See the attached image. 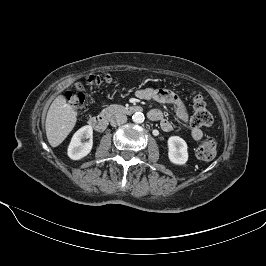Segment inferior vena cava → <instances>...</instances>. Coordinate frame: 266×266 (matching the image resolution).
<instances>
[{
    "instance_id": "obj_1",
    "label": "inferior vena cava",
    "mask_w": 266,
    "mask_h": 266,
    "mask_svg": "<svg viewBox=\"0 0 266 266\" xmlns=\"http://www.w3.org/2000/svg\"><path fill=\"white\" fill-rule=\"evenodd\" d=\"M127 121V116L122 114V113H117L115 115H113L110 119V124L111 126H119L121 124L126 123Z\"/></svg>"
}]
</instances>
